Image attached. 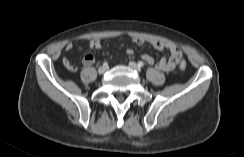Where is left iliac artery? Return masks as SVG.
I'll return each mask as SVG.
<instances>
[{"label":"left iliac artery","instance_id":"left-iliac-artery-1","mask_svg":"<svg viewBox=\"0 0 244 157\" xmlns=\"http://www.w3.org/2000/svg\"><path fill=\"white\" fill-rule=\"evenodd\" d=\"M143 66H144V63H143L142 61H139V62H138V67H139V68H143Z\"/></svg>","mask_w":244,"mask_h":157}]
</instances>
